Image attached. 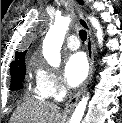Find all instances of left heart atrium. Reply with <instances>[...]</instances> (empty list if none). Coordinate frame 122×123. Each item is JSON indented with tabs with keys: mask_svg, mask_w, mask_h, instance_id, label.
<instances>
[{
	"mask_svg": "<svg viewBox=\"0 0 122 123\" xmlns=\"http://www.w3.org/2000/svg\"><path fill=\"white\" fill-rule=\"evenodd\" d=\"M88 71V62L83 53L77 52L67 57L64 66V78L69 86H79L87 77Z\"/></svg>",
	"mask_w": 122,
	"mask_h": 123,
	"instance_id": "1",
	"label": "left heart atrium"
}]
</instances>
